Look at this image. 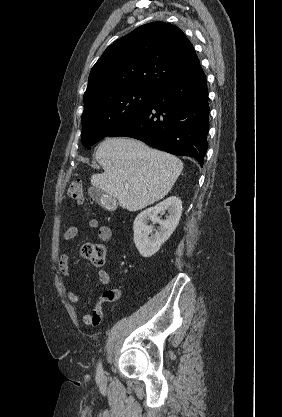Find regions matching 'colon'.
Masks as SVG:
<instances>
[{
	"instance_id": "colon-1",
	"label": "colon",
	"mask_w": 282,
	"mask_h": 417,
	"mask_svg": "<svg viewBox=\"0 0 282 417\" xmlns=\"http://www.w3.org/2000/svg\"><path fill=\"white\" fill-rule=\"evenodd\" d=\"M68 195L78 201H83V186L79 182H72L68 187ZM81 254L83 257L91 260L95 265H103L105 263L106 258V251L103 245L94 243V244H87L82 247Z\"/></svg>"
}]
</instances>
